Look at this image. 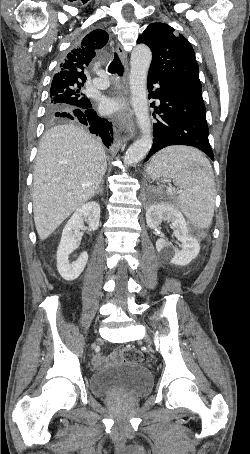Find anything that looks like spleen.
<instances>
[{
	"mask_svg": "<svg viewBox=\"0 0 250 454\" xmlns=\"http://www.w3.org/2000/svg\"><path fill=\"white\" fill-rule=\"evenodd\" d=\"M153 179L171 178L179 187L178 204L185 216L197 227L207 229L215 207V179L209 160L199 150L187 146H170L155 154L148 167Z\"/></svg>",
	"mask_w": 250,
	"mask_h": 454,
	"instance_id": "obj_1",
	"label": "spleen"
}]
</instances>
